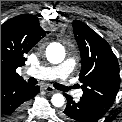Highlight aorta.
<instances>
[{"instance_id": "762f6f07", "label": "aorta", "mask_w": 122, "mask_h": 122, "mask_svg": "<svg viewBox=\"0 0 122 122\" xmlns=\"http://www.w3.org/2000/svg\"><path fill=\"white\" fill-rule=\"evenodd\" d=\"M46 57L50 63H61L65 58V49L59 43H52L46 49ZM51 103L55 107H62L65 103V97L60 93L54 94Z\"/></svg>"}]
</instances>
